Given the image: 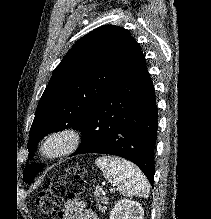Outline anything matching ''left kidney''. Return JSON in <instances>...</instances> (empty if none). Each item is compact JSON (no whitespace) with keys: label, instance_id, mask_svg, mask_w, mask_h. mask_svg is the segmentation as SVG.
<instances>
[{"label":"left kidney","instance_id":"5707ae66","mask_svg":"<svg viewBox=\"0 0 211 219\" xmlns=\"http://www.w3.org/2000/svg\"><path fill=\"white\" fill-rule=\"evenodd\" d=\"M142 206L133 200L118 201L110 213V219H143Z\"/></svg>","mask_w":211,"mask_h":219}]
</instances>
